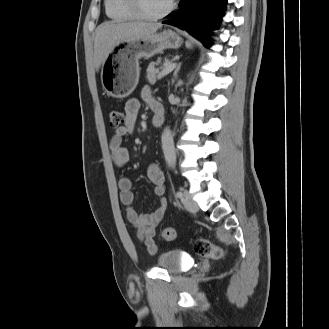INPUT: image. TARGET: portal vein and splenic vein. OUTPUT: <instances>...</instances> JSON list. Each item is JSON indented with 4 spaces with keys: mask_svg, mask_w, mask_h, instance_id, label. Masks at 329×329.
Returning <instances> with one entry per match:
<instances>
[{
    "mask_svg": "<svg viewBox=\"0 0 329 329\" xmlns=\"http://www.w3.org/2000/svg\"><path fill=\"white\" fill-rule=\"evenodd\" d=\"M176 64L172 63L167 65L159 74V78H162L163 76L167 75L169 72H171L175 68Z\"/></svg>",
    "mask_w": 329,
    "mask_h": 329,
    "instance_id": "portal-vein-and-splenic-vein-1",
    "label": "portal vein and splenic vein"
}]
</instances>
